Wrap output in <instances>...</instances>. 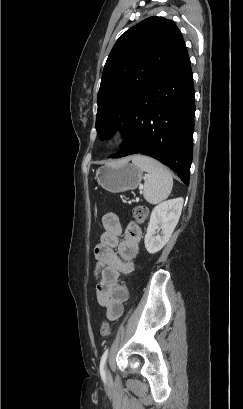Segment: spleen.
Returning a JSON list of instances; mask_svg holds the SVG:
<instances>
[{"label": "spleen", "mask_w": 243, "mask_h": 409, "mask_svg": "<svg viewBox=\"0 0 243 409\" xmlns=\"http://www.w3.org/2000/svg\"><path fill=\"white\" fill-rule=\"evenodd\" d=\"M131 160L135 166L147 172L143 188L144 198L151 204H158L168 198L173 186V178L169 170L147 156L134 155Z\"/></svg>", "instance_id": "obj_1"}]
</instances>
